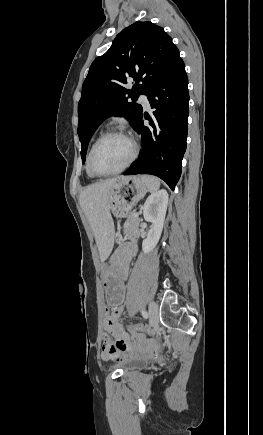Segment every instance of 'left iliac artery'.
<instances>
[{
  "instance_id": "1",
  "label": "left iliac artery",
  "mask_w": 263,
  "mask_h": 435,
  "mask_svg": "<svg viewBox=\"0 0 263 435\" xmlns=\"http://www.w3.org/2000/svg\"><path fill=\"white\" fill-rule=\"evenodd\" d=\"M141 313H142V316H143L145 319L148 318V313H147L146 310L143 309V310L141 311Z\"/></svg>"
}]
</instances>
